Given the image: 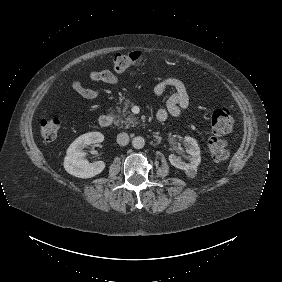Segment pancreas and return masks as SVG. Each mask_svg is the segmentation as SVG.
I'll return each instance as SVG.
<instances>
[{
  "label": "pancreas",
  "instance_id": "obj_1",
  "mask_svg": "<svg viewBox=\"0 0 282 282\" xmlns=\"http://www.w3.org/2000/svg\"><path fill=\"white\" fill-rule=\"evenodd\" d=\"M132 105L133 104L130 103L129 101H125L122 109L120 107H117V112L119 115L114 122L115 125L119 124V125H125L126 127H129V126H135L136 124H138V118H136L134 114H132L128 110L129 106H132Z\"/></svg>",
  "mask_w": 282,
  "mask_h": 282
}]
</instances>
